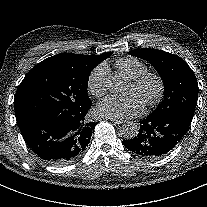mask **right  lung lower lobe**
Returning a JSON list of instances; mask_svg holds the SVG:
<instances>
[{"label": "right lung lower lobe", "mask_w": 207, "mask_h": 207, "mask_svg": "<svg viewBox=\"0 0 207 207\" xmlns=\"http://www.w3.org/2000/svg\"><path fill=\"white\" fill-rule=\"evenodd\" d=\"M88 109L78 115H57L54 111L17 120L24 141L41 159L52 165H65L79 158L89 144L97 122L87 118Z\"/></svg>", "instance_id": "98d812e1"}]
</instances>
